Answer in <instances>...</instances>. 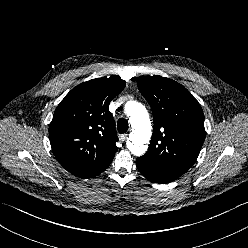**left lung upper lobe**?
<instances>
[{
  "label": "left lung upper lobe",
  "instance_id": "1",
  "mask_svg": "<svg viewBox=\"0 0 248 248\" xmlns=\"http://www.w3.org/2000/svg\"><path fill=\"white\" fill-rule=\"evenodd\" d=\"M138 89L151 106L154 126L148 151L137 159L173 181L190 169L202 148V108L186 88L168 78L140 77Z\"/></svg>",
  "mask_w": 248,
  "mask_h": 248
}]
</instances>
